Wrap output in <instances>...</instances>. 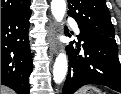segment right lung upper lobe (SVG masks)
Wrapping results in <instances>:
<instances>
[{"label":"right lung upper lobe","mask_w":121,"mask_h":94,"mask_svg":"<svg viewBox=\"0 0 121 94\" xmlns=\"http://www.w3.org/2000/svg\"><path fill=\"white\" fill-rule=\"evenodd\" d=\"M30 0H1V17L26 10Z\"/></svg>","instance_id":"right-lung-upper-lobe-1"}]
</instances>
